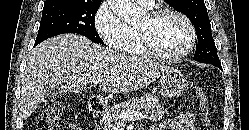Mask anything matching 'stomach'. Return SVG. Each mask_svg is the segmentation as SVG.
I'll return each instance as SVG.
<instances>
[{
	"label": "stomach",
	"instance_id": "0dacf381",
	"mask_svg": "<svg viewBox=\"0 0 249 130\" xmlns=\"http://www.w3.org/2000/svg\"><path fill=\"white\" fill-rule=\"evenodd\" d=\"M160 93L165 98L181 96L187 89L188 83L176 70L166 72L159 77Z\"/></svg>",
	"mask_w": 249,
	"mask_h": 130
}]
</instances>
